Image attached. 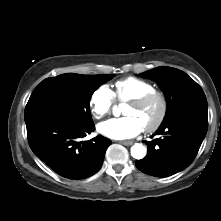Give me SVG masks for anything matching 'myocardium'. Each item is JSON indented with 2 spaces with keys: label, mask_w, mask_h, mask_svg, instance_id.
Wrapping results in <instances>:
<instances>
[{
  "label": "myocardium",
  "mask_w": 221,
  "mask_h": 221,
  "mask_svg": "<svg viewBox=\"0 0 221 221\" xmlns=\"http://www.w3.org/2000/svg\"><path fill=\"white\" fill-rule=\"evenodd\" d=\"M155 100H157L160 103V113L153 124L144 128L145 132L147 133H152V132L157 131L164 123L168 114L167 97L165 96L163 92L154 90L152 92H149L141 97L130 100L128 102V105L135 106V107H143Z\"/></svg>",
  "instance_id": "1"
}]
</instances>
